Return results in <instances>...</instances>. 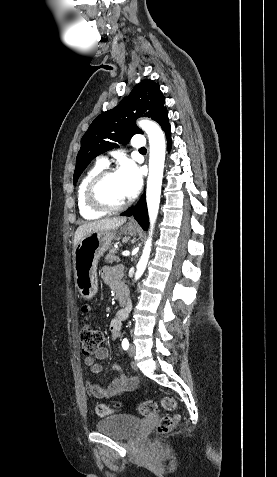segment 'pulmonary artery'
<instances>
[{
	"mask_svg": "<svg viewBox=\"0 0 277 477\" xmlns=\"http://www.w3.org/2000/svg\"><path fill=\"white\" fill-rule=\"evenodd\" d=\"M144 144H145V141H144L143 136H141V135L134 136V138L132 140V146L134 148L140 149L144 146ZM99 163L102 164V165H107L108 164V159L106 157H102L99 160Z\"/></svg>",
	"mask_w": 277,
	"mask_h": 477,
	"instance_id": "e3ab8cb5",
	"label": "pulmonary artery"
}]
</instances>
